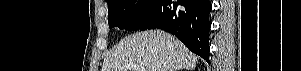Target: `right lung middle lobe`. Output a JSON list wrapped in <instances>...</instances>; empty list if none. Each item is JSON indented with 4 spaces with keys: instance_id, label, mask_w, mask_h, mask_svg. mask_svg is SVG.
Returning a JSON list of instances; mask_svg holds the SVG:
<instances>
[{
    "instance_id": "1",
    "label": "right lung middle lobe",
    "mask_w": 301,
    "mask_h": 71,
    "mask_svg": "<svg viewBox=\"0 0 301 71\" xmlns=\"http://www.w3.org/2000/svg\"><path fill=\"white\" fill-rule=\"evenodd\" d=\"M157 0H110L108 1L109 27L142 30Z\"/></svg>"
}]
</instances>
